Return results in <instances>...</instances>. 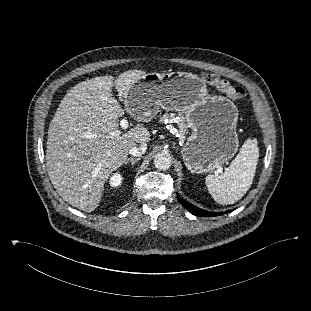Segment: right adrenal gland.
<instances>
[{
    "label": "right adrenal gland",
    "instance_id": "obj_1",
    "mask_svg": "<svg viewBox=\"0 0 311 311\" xmlns=\"http://www.w3.org/2000/svg\"><path fill=\"white\" fill-rule=\"evenodd\" d=\"M141 158L140 157H137V158H129L127 159L124 164L127 165L128 163H131L132 167L134 166V164L136 162H138Z\"/></svg>",
    "mask_w": 311,
    "mask_h": 311
}]
</instances>
